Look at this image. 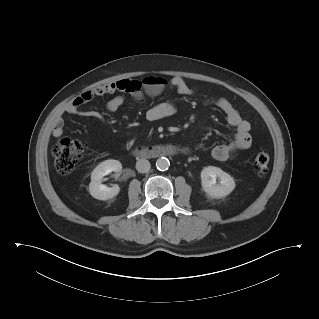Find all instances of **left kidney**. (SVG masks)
I'll return each instance as SVG.
<instances>
[{
    "instance_id": "left-kidney-1",
    "label": "left kidney",
    "mask_w": 319,
    "mask_h": 319,
    "mask_svg": "<svg viewBox=\"0 0 319 319\" xmlns=\"http://www.w3.org/2000/svg\"><path fill=\"white\" fill-rule=\"evenodd\" d=\"M219 178L220 184H216ZM201 184L203 190L212 198H223L235 188L233 177L218 167L208 166L201 171Z\"/></svg>"
}]
</instances>
